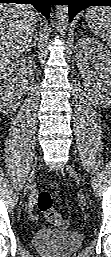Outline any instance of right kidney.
I'll return each mask as SVG.
<instances>
[{
	"instance_id": "right-kidney-1",
	"label": "right kidney",
	"mask_w": 111,
	"mask_h": 257,
	"mask_svg": "<svg viewBox=\"0 0 111 257\" xmlns=\"http://www.w3.org/2000/svg\"><path fill=\"white\" fill-rule=\"evenodd\" d=\"M33 59L21 57L1 70V108L3 112L15 111L20 105L22 94L34 80Z\"/></svg>"
}]
</instances>
